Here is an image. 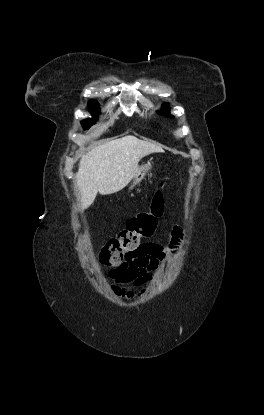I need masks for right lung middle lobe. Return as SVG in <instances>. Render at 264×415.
I'll return each instance as SVG.
<instances>
[{"label": "right lung middle lobe", "instance_id": "1", "mask_svg": "<svg viewBox=\"0 0 264 415\" xmlns=\"http://www.w3.org/2000/svg\"><path fill=\"white\" fill-rule=\"evenodd\" d=\"M89 107H90V109H91V112H92V115H93V117L90 119V118H88V119H85V120H83L82 121V125L85 127V128H89L90 127V125H92L94 122H95V120H96V118H97V113L99 112V107H98V103L96 102V101H90L89 102Z\"/></svg>", "mask_w": 264, "mask_h": 415}]
</instances>
